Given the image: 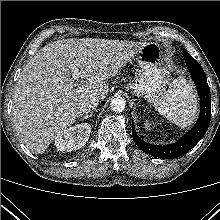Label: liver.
Wrapping results in <instances>:
<instances>
[{"instance_id": "liver-1", "label": "liver", "mask_w": 220, "mask_h": 220, "mask_svg": "<svg viewBox=\"0 0 220 220\" xmlns=\"http://www.w3.org/2000/svg\"><path fill=\"white\" fill-rule=\"evenodd\" d=\"M146 43L96 38L65 39L42 47L24 66L13 94L12 120L25 146L43 154L81 115L90 96L106 98L115 76ZM72 66L79 70L72 78Z\"/></svg>"}]
</instances>
